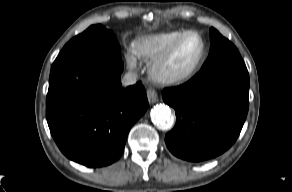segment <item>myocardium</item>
<instances>
[{
  "label": "myocardium",
  "instance_id": "obj_1",
  "mask_svg": "<svg viewBox=\"0 0 292 192\" xmlns=\"http://www.w3.org/2000/svg\"><path fill=\"white\" fill-rule=\"evenodd\" d=\"M190 35H196L201 40L202 52L200 57L187 71L181 73L171 72L169 70V64L172 58L183 40ZM207 56L208 44L204 36L198 31L187 30L180 35L156 61L153 62L150 72L152 77L159 83L167 85L181 84L192 79L201 70L207 60Z\"/></svg>",
  "mask_w": 292,
  "mask_h": 192
}]
</instances>
